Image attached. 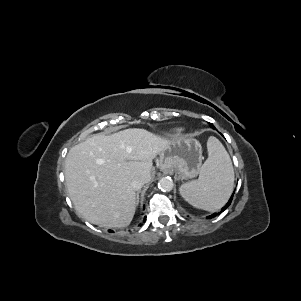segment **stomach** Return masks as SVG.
<instances>
[{"instance_id": "1", "label": "stomach", "mask_w": 301, "mask_h": 301, "mask_svg": "<svg viewBox=\"0 0 301 301\" xmlns=\"http://www.w3.org/2000/svg\"><path fill=\"white\" fill-rule=\"evenodd\" d=\"M202 147L191 136L180 137L169 142L159 154L161 170L175 172L186 179L196 177L202 168Z\"/></svg>"}]
</instances>
